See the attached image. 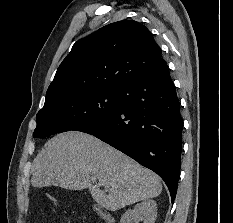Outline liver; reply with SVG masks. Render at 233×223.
<instances>
[{"label":"liver","instance_id":"obj_1","mask_svg":"<svg viewBox=\"0 0 233 223\" xmlns=\"http://www.w3.org/2000/svg\"><path fill=\"white\" fill-rule=\"evenodd\" d=\"M31 169L34 187L89 189L94 201L109 211L157 197L162 191L156 173L82 131L52 137L33 159ZM91 175L97 177V183L91 181Z\"/></svg>","mask_w":233,"mask_h":223}]
</instances>
